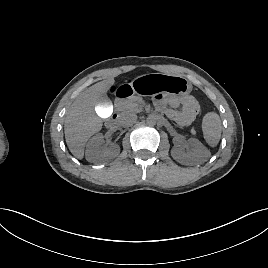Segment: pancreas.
I'll return each mask as SVG.
<instances>
[{
	"instance_id": "1",
	"label": "pancreas",
	"mask_w": 268,
	"mask_h": 268,
	"mask_svg": "<svg viewBox=\"0 0 268 268\" xmlns=\"http://www.w3.org/2000/svg\"><path fill=\"white\" fill-rule=\"evenodd\" d=\"M145 105V102L140 96H133L126 100H121L116 104V109L122 114L129 112H139L142 107Z\"/></svg>"
}]
</instances>
